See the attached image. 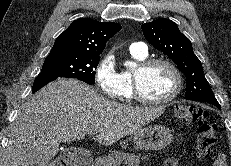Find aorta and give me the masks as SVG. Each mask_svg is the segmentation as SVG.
<instances>
[{
	"mask_svg": "<svg viewBox=\"0 0 231 166\" xmlns=\"http://www.w3.org/2000/svg\"><path fill=\"white\" fill-rule=\"evenodd\" d=\"M125 66L127 69L131 70L136 67V64L134 62H127Z\"/></svg>",
	"mask_w": 231,
	"mask_h": 166,
	"instance_id": "1",
	"label": "aorta"
}]
</instances>
